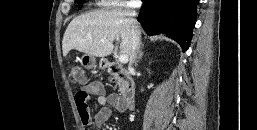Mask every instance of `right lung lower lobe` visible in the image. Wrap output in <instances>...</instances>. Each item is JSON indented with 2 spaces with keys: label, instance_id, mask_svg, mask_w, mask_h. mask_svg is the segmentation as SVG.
Returning a JSON list of instances; mask_svg holds the SVG:
<instances>
[{
  "label": "right lung lower lobe",
  "instance_id": "1",
  "mask_svg": "<svg viewBox=\"0 0 257 130\" xmlns=\"http://www.w3.org/2000/svg\"><path fill=\"white\" fill-rule=\"evenodd\" d=\"M199 0H142L138 21L149 35L165 33L189 48Z\"/></svg>",
  "mask_w": 257,
  "mask_h": 130
}]
</instances>
